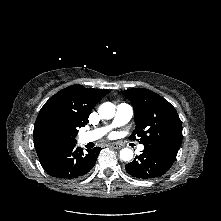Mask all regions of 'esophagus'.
<instances>
[{
    "label": "esophagus",
    "instance_id": "1",
    "mask_svg": "<svg viewBox=\"0 0 221 221\" xmlns=\"http://www.w3.org/2000/svg\"><path fill=\"white\" fill-rule=\"evenodd\" d=\"M109 146L113 149H120L121 148V145L118 143H111V144H109Z\"/></svg>",
    "mask_w": 221,
    "mask_h": 221
}]
</instances>
